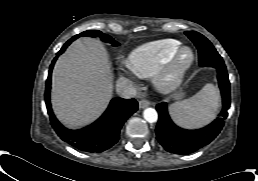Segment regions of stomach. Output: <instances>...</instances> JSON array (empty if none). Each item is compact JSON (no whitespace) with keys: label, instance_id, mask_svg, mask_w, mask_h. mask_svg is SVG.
<instances>
[{"label":"stomach","instance_id":"stomach-1","mask_svg":"<svg viewBox=\"0 0 258 181\" xmlns=\"http://www.w3.org/2000/svg\"><path fill=\"white\" fill-rule=\"evenodd\" d=\"M183 96H184V93H183L182 91H180V92H178V93H176V94L174 95V98H176V99H181Z\"/></svg>","mask_w":258,"mask_h":181}]
</instances>
